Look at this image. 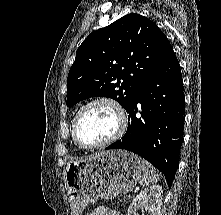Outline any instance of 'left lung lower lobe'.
Wrapping results in <instances>:
<instances>
[{
    "instance_id": "1",
    "label": "left lung lower lobe",
    "mask_w": 221,
    "mask_h": 215,
    "mask_svg": "<svg viewBox=\"0 0 221 215\" xmlns=\"http://www.w3.org/2000/svg\"><path fill=\"white\" fill-rule=\"evenodd\" d=\"M127 112L129 123L124 137L106 150L125 149L140 155L165 175L171 187L184 118L183 80L172 47L159 68L140 86Z\"/></svg>"
}]
</instances>
